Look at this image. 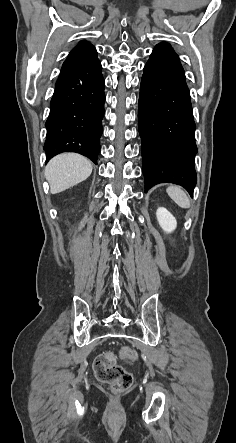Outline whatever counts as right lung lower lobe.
I'll list each match as a JSON object with an SVG mask.
<instances>
[{"label": "right lung lower lobe", "mask_w": 236, "mask_h": 443, "mask_svg": "<svg viewBox=\"0 0 236 443\" xmlns=\"http://www.w3.org/2000/svg\"><path fill=\"white\" fill-rule=\"evenodd\" d=\"M104 85L98 60H65L45 124L47 161L62 152H76L97 164L104 116Z\"/></svg>", "instance_id": "right-lung-lower-lobe-1"}]
</instances>
